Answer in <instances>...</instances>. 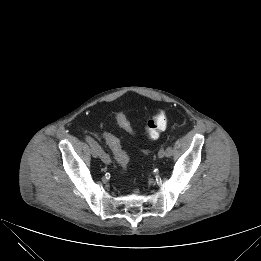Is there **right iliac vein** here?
<instances>
[{"mask_svg":"<svg viewBox=\"0 0 261 261\" xmlns=\"http://www.w3.org/2000/svg\"><path fill=\"white\" fill-rule=\"evenodd\" d=\"M89 151H90L91 156H92L94 159H97V158L99 157L98 152L95 150V148L90 147Z\"/></svg>","mask_w":261,"mask_h":261,"instance_id":"1","label":"right iliac vein"}]
</instances>
